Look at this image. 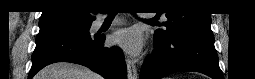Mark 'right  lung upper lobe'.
Segmentation results:
<instances>
[{
    "label": "right lung upper lobe",
    "instance_id": "obj_1",
    "mask_svg": "<svg viewBox=\"0 0 255 79\" xmlns=\"http://www.w3.org/2000/svg\"><path fill=\"white\" fill-rule=\"evenodd\" d=\"M87 0H48L40 19L71 14L84 21H93L96 11Z\"/></svg>",
    "mask_w": 255,
    "mask_h": 79
}]
</instances>
